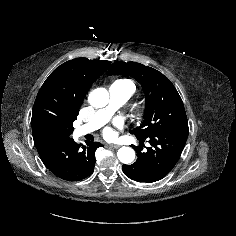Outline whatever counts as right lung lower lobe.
Returning a JSON list of instances; mask_svg holds the SVG:
<instances>
[{"instance_id":"right-lung-lower-lobe-1","label":"right lung lower lobe","mask_w":236,"mask_h":236,"mask_svg":"<svg viewBox=\"0 0 236 236\" xmlns=\"http://www.w3.org/2000/svg\"><path fill=\"white\" fill-rule=\"evenodd\" d=\"M35 146L46 168L65 181H80L92 174L95 167V151L102 144L87 141L77 144L72 138L40 137Z\"/></svg>"}]
</instances>
